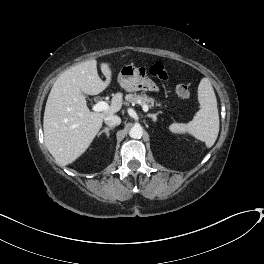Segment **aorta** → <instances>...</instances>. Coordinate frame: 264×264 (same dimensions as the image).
I'll list each match as a JSON object with an SVG mask.
<instances>
[{
	"label": "aorta",
	"mask_w": 264,
	"mask_h": 264,
	"mask_svg": "<svg viewBox=\"0 0 264 264\" xmlns=\"http://www.w3.org/2000/svg\"><path fill=\"white\" fill-rule=\"evenodd\" d=\"M143 135V128L139 125L133 126L129 131V136L134 139H140Z\"/></svg>",
	"instance_id": "1"
}]
</instances>
